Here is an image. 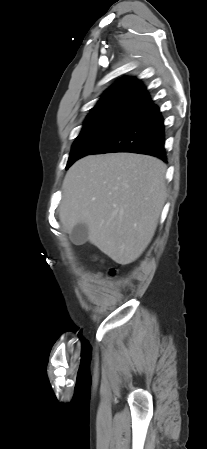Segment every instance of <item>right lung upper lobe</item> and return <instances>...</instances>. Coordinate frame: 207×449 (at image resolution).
Returning <instances> with one entry per match:
<instances>
[{"instance_id":"1","label":"right lung upper lobe","mask_w":207,"mask_h":449,"mask_svg":"<svg viewBox=\"0 0 207 449\" xmlns=\"http://www.w3.org/2000/svg\"><path fill=\"white\" fill-rule=\"evenodd\" d=\"M153 104L139 80L129 77L119 80L110 87L89 115L110 111L138 113Z\"/></svg>"}]
</instances>
